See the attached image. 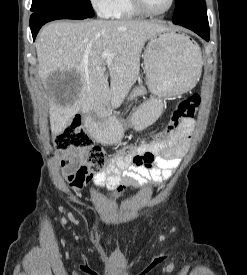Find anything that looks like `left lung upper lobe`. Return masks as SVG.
<instances>
[{"label":"left lung upper lobe","instance_id":"5c2ea615","mask_svg":"<svg viewBox=\"0 0 247 275\" xmlns=\"http://www.w3.org/2000/svg\"><path fill=\"white\" fill-rule=\"evenodd\" d=\"M174 23L208 20L205 0H175Z\"/></svg>","mask_w":247,"mask_h":275}]
</instances>
